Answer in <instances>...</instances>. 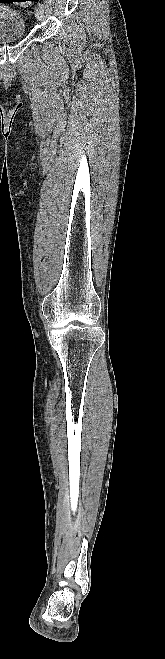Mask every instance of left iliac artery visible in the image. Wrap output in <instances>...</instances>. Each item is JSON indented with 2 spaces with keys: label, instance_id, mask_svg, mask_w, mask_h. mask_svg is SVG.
<instances>
[{
  "label": "left iliac artery",
  "instance_id": "left-iliac-artery-1",
  "mask_svg": "<svg viewBox=\"0 0 165 659\" xmlns=\"http://www.w3.org/2000/svg\"><path fill=\"white\" fill-rule=\"evenodd\" d=\"M38 6L42 9H45V6L42 3H39Z\"/></svg>",
  "mask_w": 165,
  "mask_h": 659
}]
</instances>
